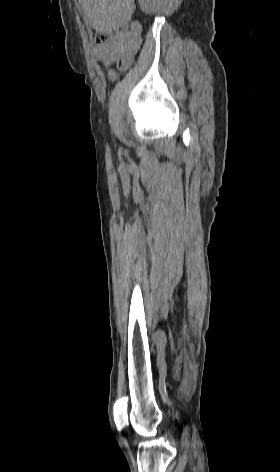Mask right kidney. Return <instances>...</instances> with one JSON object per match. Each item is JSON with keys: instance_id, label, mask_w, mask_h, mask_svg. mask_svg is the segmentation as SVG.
<instances>
[{"instance_id": "obj_1", "label": "right kidney", "mask_w": 280, "mask_h": 472, "mask_svg": "<svg viewBox=\"0 0 280 472\" xmlns=\"http://www.w3.org/2000/svg\"><path fill=\"white\" fill-rule=\"evenodd\" d=\"M139 3L141 9L144 12L149 13L157 6L158 0H139Z\"/></svg>"}]
</instances>
